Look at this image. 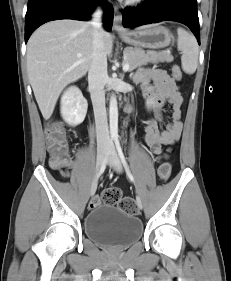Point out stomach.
<instances>
[{"label": "stomach", "instance_id": "stomach-1", "mask_svg": "<svg viewBox=\"0 0 231 281\" xmlns=\"http://www.w3.org/2000/svg\"><path fill=\"white\" fill-rule=\"evenodd\" d=\"M124 42L135 47L160 49L167 47L172 40L170 31L158 24L146 25L121 34Z\"/></svg>", "mask_w": 231, "mask_h": 281}]
</instances>
